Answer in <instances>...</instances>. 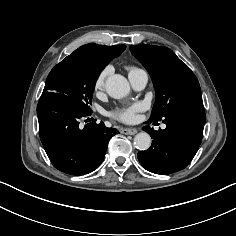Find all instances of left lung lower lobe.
I'll return each instance as SVG.
<instances>
[{
	"label": "left lung lower lobe",
	"instance_id": "1",
	"mask_svg": "<svg viewBox=\"0 0 236 236\" xmlns=\"http://www.w3.org/2000/svg\"><path fill=\"white\" fill-rule=\"evenodd\" d=\"M206 115L203 103L188 102L169 111L162 122L164 130L144 126L151 136L152 145L138 152V160L148 171L171 174L187 167L202 141ZM153 122L149 119L147 124Z\"/></svg>",
	"mask_w": 236,
	"mask_h": 236
}]
</instances>
